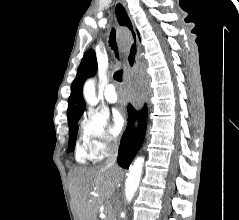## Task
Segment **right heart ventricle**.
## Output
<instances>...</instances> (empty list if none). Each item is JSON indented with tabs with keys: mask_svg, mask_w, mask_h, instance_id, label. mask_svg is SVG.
<instances>
[{
	"mask_svg": "<svg viewBox=\"0 0 239 220\" xmlns=\"http://www.w3.org/2000/svg\"><path fill=\"white\" fill-rule=\"evenodd\" d=\"M75 156L79 163H85L92 159L87 147L84 144H79L77 146Z\"/></svg>",
	"mask_w": 239,
	"mask_h": 220,
	"instance_id": "right-heart-ventricle-1",
	"label": "right heart ventricle"
}]
</instances>
